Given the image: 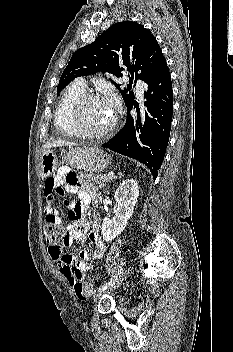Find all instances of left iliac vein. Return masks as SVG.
<instances>
[{"instance_id": "1", "label": "left iliac vein", "mask_w": 233, "mask_h": 352, "mask_svg": "<svg viewBox=\"0 0 233 352\" xmlns=\"http://www.w3.org/2000/svg\"><path fill=\"white\" fill-rule=\"evenodd\" d=\"M129 275H130V268H128L124 273H122V275H120V277L116 280V282L113 285L109 286L106 290L99 291L94 297V302L95 303L98 302L104 294L111 292L116 288L120 287V285L127 279Z\"/></svg>"}]
</instances>
